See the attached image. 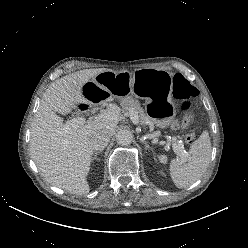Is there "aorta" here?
Segmentation results:
<instances>
[{
  "instance_id": "obj_1",
  "label": "aorta",
  "mask_w": 248,
  "mask_h": 248,
  "mask_svg": "<svg viewBox=\"0 0 248 248\" xmlns=\"http://www.w3.org/2000/svg\"><path fill=\"white\" fill-rule=\"evenodd\" d=\"M133 140V134L127 129H121L116 133V141L121 146H127L131 144Z\"/></svg>"
}]
</instances>
